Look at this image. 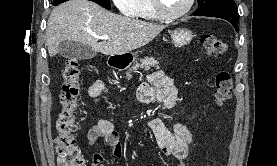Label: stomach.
I'll list each match as a JSON object with an SVG mask.
<instances>
[{
    "instance_id": "0dacf381",
    "label": "stomach",
    "mask_w": 277,
    "mask_h": 166,
    "mask_svg": "<svg viewBox=\"0 0 277 166\" xmlns=\"http://www.w3.org/2000/svg\"><path fill=\"white\" fill-rule=\"evenodd\" d=\"M193 37V33L187 28H177L171 33V41L175 46L178 47L188 45ZM112 56H115L112 57L113 61L115 65L120 68L128 67L136 61V53L129 52Z\"/></svg>"
}]
</instances>
